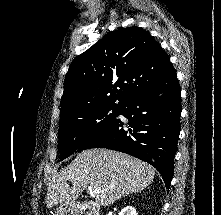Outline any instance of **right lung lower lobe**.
Instances as JSON below:
<instances>
[{"mask_svg": "<svg viewBox=\"0 0 221 215\" xmlns=\"http://www.w3.org/2000/svg\"><path fill=\"white\" fill-rule=\"evenodd\" d=\"M180 98L176 71L172 70L161 82L118 108L117 116L128 119L129 129L115 119L84 140L77 150L108 148L130 154L153 165L169 188L180 133Z\"/></svg>", "mask_w": 221, "mask_h": 215, "instance_id": "right-lung-lower-lobe-1", "label": "right lung lower lobe"}]
</instances>
